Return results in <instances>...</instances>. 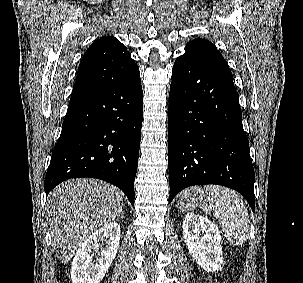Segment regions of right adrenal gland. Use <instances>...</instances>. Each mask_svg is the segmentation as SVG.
I'll list each match as a JSON object with an SVG mask.
<instances>
[{
    "label": "right adrenal gland",
    "mask_w": 303,
    "mask_h": 283,
    "mask_svg": "<svg viewBox=\"0 0 303 283\" xmlns=\"http://www.w3.org/2000/svg\"><path fill=\"white\" fill-rule=\"evenodd\" d=\"M121 215L123 216V211H121Z\"/></svg>",
    "instance_id": "2a0ac1e0"
}]
</instances>
